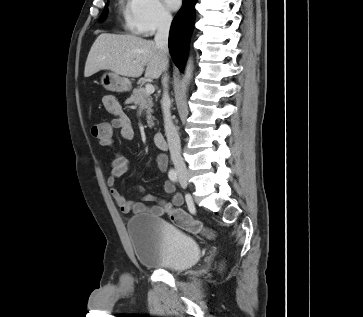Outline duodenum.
I'll list each match as a JSON object with an SVG mask.
<instances>
[{
    "label": "duodenum",
    "mask_w": 363,
    "mask_h": 317,
    "mask_svg": "<svg viewBox=\"0 0 363 317\" xmlns=\"http://www.w3.org/2000/svg\"><path fill=\"white\" fill-rule=\"evenodd\" d=\"M153 142L157 148L164 149L167 147L164 135L161 132H155L153 135Z\"/></svg>",
    "instance_id": "obj_1"
}]
</instances>
